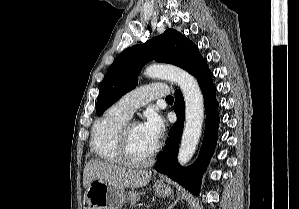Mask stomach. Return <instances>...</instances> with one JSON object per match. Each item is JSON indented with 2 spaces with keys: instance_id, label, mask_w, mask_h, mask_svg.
I'll return each instance as SVG.
<instances>
[{
  "instance_id": "1",
  "label": "stomach",
  "mask_w": 299,
  "mask_h": 209,
  "mask_svg": "<svg viewBox=\"0 0 299 209\" xmlns=\"http://www.w3.org/2000/svg\"><path fill=\"white\" fill-rule=\"evenodd\" d=\"M153 188L159 197H169L173 193L171 187L161 181L155 182ZM85 198L87 209H120L127 201L131 205L135 204L139 199V193L134 189L125 192L123 187L95 179L88 185Z\"/></svg>"
}]
</instances>
